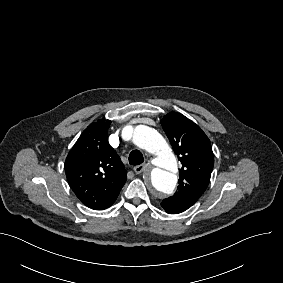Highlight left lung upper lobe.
Instances as JSON below:
<instances>
[{
	"label": "left lung upper lobe",
	"instance_id": "5c2ea615",
	"mask_svg": "<svg viewBox=\"0 0 283 283\" xmlns=\"http://www.w3.org/2000/svg\"><path fill=\"white\" fill-rule=\"evenodd\" d=\"M161 125L182 164L177 192L161 203L172 209L185 211L206 190L214 166L209 138L194 122L184 115L171 112Z\"/></svg>",
	"mask_w": 283,
	"mask_h": 283
}]
</instances>
